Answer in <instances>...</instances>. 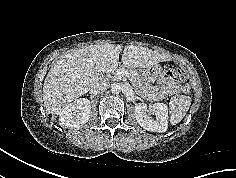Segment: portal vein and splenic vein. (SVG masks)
<instances>
[{"instance_id": "1", "label": "portal vein and splenic vein", "mask_w": 236, "mask_h": 178, "mask_svg": "<svg viewBox=\"0 0 236 178\" xmlns=\"http://www.w3.org/2000/svg\"><path fill=\"white\" fill-rule=\"evenodd\" d=\"M116 76L118 77V78H122V77H129V74H128V72H126V71H124V70H121V71H119V72H117L116 73Z\"/></svg>"}]
</instances>
